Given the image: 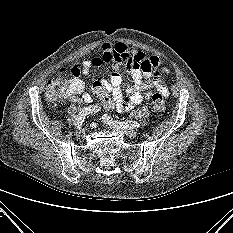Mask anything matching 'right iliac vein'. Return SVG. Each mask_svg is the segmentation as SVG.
Returning <instances> with one entry per match:
<instances>
[{
    "instance_id": "right-iliac-vein-1",
    "label": "right iliac vein",
    "mask_w": 233,
    "mask_h": 233,
    "mask_svg": "<svg viewBox=\"0 0 233 233\" xmlns=\"http://www.w3.org/2000/svg\"><path fill=\"white\" fill-rule=\"evenodd\" d=\"M76 136L78 138H84L85 137V129L81 128L76 132Z\"/></svg>"
}]
</instances>
